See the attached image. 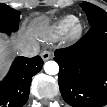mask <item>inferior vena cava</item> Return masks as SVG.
<instances>
[{
  "mask_svg": "<svg viewBox=\"0 0 107 107\" xmlns=\"http://www.w3.org/2000/svg\"><path fill=\"white\" fill-rule=\"evenodd\" d=\"M17 53L24 57H29V58L35 57L39 54V46L23 44L18 48Z\"/></svg>",
  "mask_w": 107,
  "mask_h": 107,
  "instance_id": "inferior-vena-cava-1",
  "label": "inferior vena cava"
}]
</instances>
